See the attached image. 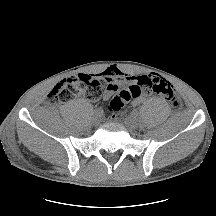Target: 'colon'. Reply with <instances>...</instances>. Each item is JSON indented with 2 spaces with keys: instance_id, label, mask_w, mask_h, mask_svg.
<instances>
[{
  "instance_id": "obj_1",
  "label": "colon",
  "mask_w": 216,
  "mask_h": 216,
  "mask_svg": "<svg viewBox=\"0 0 216 216\" xmlns=\"http://www.w3.org/2000/svg\"><path fill=\"white\" fill-rule=\"evenodd\" d=\"M105 87V81L98 76L75 74L59 82L50 92V97L60 103L67 102L74 95H83L87 99L95 101L102 96ZM143 91L153 92L161 96L175 109L180 106V101L173 85L159 76L149 75L144 76L138 84L118 92L108 104V112L115 114Z\"/></svg>"
}]
</instances>
